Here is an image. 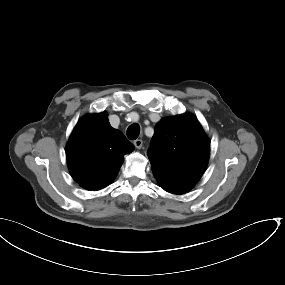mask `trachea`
Wrapping results in <instances>:
<instances>
[{
    "label": "trachea",
    "mask_w": 285,
    "mask_h": 285,
    "mask_svg": "<svg viewBox=\"0 0 285 285\" xmlns=\"http://www.w3.org/2000/svg\"><path fill=\"white\" fill-rule=\"evenodd\" d=\"M140 134V126L138 124H132L127 129V136L129 139H136Z\"/></svg>",
    "instance_id": "3493384b"
}]
</instances>
